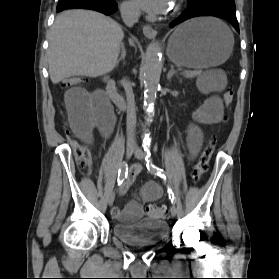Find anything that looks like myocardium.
Instances as JSON below:
<instances>
[{
	"mask_svg": "<svg viewBox=\"0 0 279 279\" xmlns=\"http://www.w3.org/2000/svg\"><path fill=\"white\" fill-rule=\"evenodd\" d=\"M175 8L178 9V8H179V5H176Z\"/></svg>",
	"mask_w": 279,
	"mask_h": 279,
	"instance_id": "1",
	"label": "myocardium"
}]
</instances>
